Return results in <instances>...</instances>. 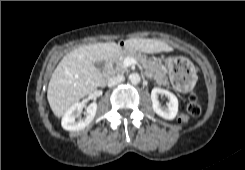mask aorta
<instances>
[{"instance_id":"obj_1","label":"aorta","mask_w":245,"mask_h":170,"mask_svg":"<svg viewBox=\"0 0 245 170\" xmlns=\"http://www.w3.org/2000/svg\"><path fill=\"white\" fill-rule=\"evenodd\" d=\"M129 80L132 84H138L141 81V77L138 73H131L129 75Z\"/></svg>"}]
</instances>
